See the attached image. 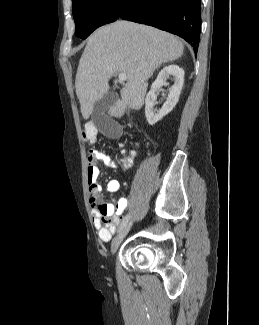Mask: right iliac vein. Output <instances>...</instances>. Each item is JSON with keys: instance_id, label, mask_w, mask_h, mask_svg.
<instances>
[{"instance_id": "1", "label": "right iliac vein", "mask_w": 259, "mask_h": 325, "mask_svg": "<svg viewBox=\"0 0 259 325\" xmlns=\"http://www.w3.org/2000/svg\"><path fill=\"white\" fill-rule=\"evenodd\" d=\"M132 226V222L127 224L118 234L117 236L113 239L112 244H111V254L113 255L118 247L120 246L121 242L125 238V236L128 234L130 228Z\"/></svg>"}]
</instances>
